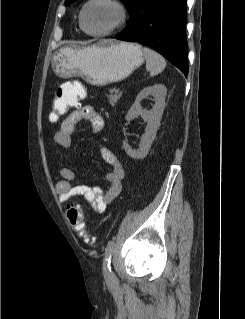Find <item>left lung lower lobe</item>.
I'll use <instances>...</instances> for the list:
<instances>
[{
    "label": "left lung lower lobe",
    "mask_w": 245,
    "mask_h": 319,
    "mask_svg": "<svg viewBox=\"0 0 245 319\" xmlns=\"http://www.w3.org/2000/svg\"><path fill=\"white\" fill-rule=\"evenodd\" d=\"M186 2L139 0L130 22L115 38L153 48L187 76Z\"/></svg>",
    "instance_id": "1"
}]
</instances>
